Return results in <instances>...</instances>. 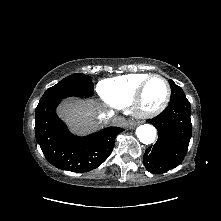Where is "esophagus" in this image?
Returning <instances> with one entry per match:
<instances>
[{
    "label": "esophagus",
    "instance_id": "1",
    "mask_svg": "<svg viewBox=\"0 0 221 221\" xmlns=\"http://www.w3.org/2000/svg\"><path fill=\"white\" fill-rule=\"evenodd\" d=\"M135 125L129 124V128H134Z\"/></svg>",
    "mask_w": 221,
    "mask_h": 221
}]
</instances>
